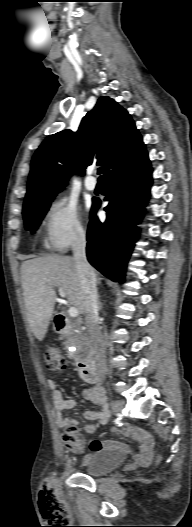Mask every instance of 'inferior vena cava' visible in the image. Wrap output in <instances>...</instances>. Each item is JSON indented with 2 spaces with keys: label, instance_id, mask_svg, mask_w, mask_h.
<instances>
[{
  "label": "inferior vena cava",
  "instance_id": "inferior-vena-cava-1",
  "mask_svg": "<svg viewBox=\"0 0 192 527\" xmlns=\"http://www.w3.org/2000/svg\"><path fill=\"white\" fill-rule=\"evenodd\" d=\"M72 251L80 279L85 323L92 341L97 371L100 377L104 378L106 354L105 342L99 327L96 275L86 258V236L83 228H79L73 235Z\"/></svg>",
  "mask_w": 192,
  "mask_h": 527
}]
</instances>
